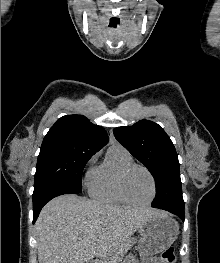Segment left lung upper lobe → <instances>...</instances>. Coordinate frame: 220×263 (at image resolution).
Masks as SVG:
<instances>
[{
	"instance_id": "5c2ea615",
	"label": "left lung upper lobe",
	"mask_w": 220,
	"mask_h": 263,
	"mask_svg": "<svg viewBox=\"0 0 220 263\" xmlns=\"http://www.w3.org/2000/svg\"><path fill=\"white\" fill-rule=\"evenodd\" d=\"M114 135L153 175L156 197L151 206L184 210L178 157L165 131L152 121L140 120L132 126L115 128Z\"/></svg>"
}]
</instances>
